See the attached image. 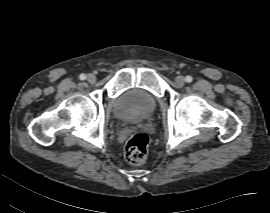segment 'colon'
I'll list each match as a JSON object with an SVG mask.
<instances>
[{"label":"colon","instance_id":"1","mask_svg":"<svg viewBox=\"0 0 270 213\" xmlns=\"http://www.w3.org/2000/svg\"><path fill=\"white\" fill-rule=\"evenodd\" d=\"M149 142L150 139L146 133L132 134L127 140L124 149L126 162L132 165L141 164L146 158Z\"/></svg>","mask_w":270,"mask_h":213}]
</instances>
